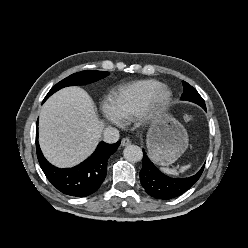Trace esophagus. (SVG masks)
Returning <instances> with one entry per match:
<instances>
[{
  "instance_id": "34e87169",
  "label": "esophagus",
  "mask_w": 248,
  "mask_h": 248,
  "mask_svg": "<svg viewBox=\"0 0 248 248\" xmlns=\"http://www.w3.org/2000/svg\"><path fill=\"white\" fill-rule=\"evenodd\" d=\"M129 144H131V139L130 138L125 137V138L122 139V141H121L122 146H127Z\"/></svg>"
}]
</instances>
